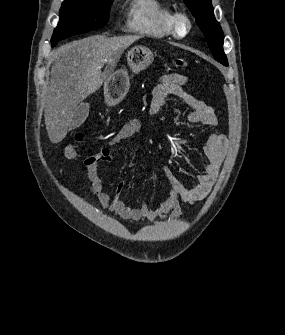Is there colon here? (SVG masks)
I'll use <instances>...</instances> for the list:
<instances>
[{
  "label": "colon",
  "instance_id": "obj_1",
  "mask_svg": "<svg viewBox=\"0 0 285 335\" xmlns=\"http://www.w3.org/2000/svg\"><path fill=\"white\" fill-rule=\"evenodd\" d=\"M174 65L176 68L178 69H188L189 68V63L186 59H183V58H176L174 60ZM83 135L78 133L76 135V140L77 141H80L82 139ZM78 151L76 149V147L74 146H68L65 150V156L68 158V159H76L78 157Z\"/></svg>",
  "mask_w": 285,
  "mask_h": 335
}]
</instances>
